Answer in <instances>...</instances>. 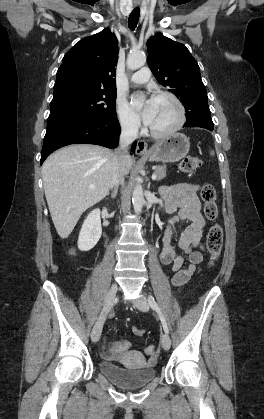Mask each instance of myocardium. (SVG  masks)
<instances>
[{
    "mask_svg": "<svg viewBox=\"0 0 264 419\" xmlns=\"http://www.w3.org/2000/svg\"><path fill=\"white\" fill-rule=\"evenodd\" d=\"M155 98H167L174 103L177 109V120L172 127H170L169 129L165 131H156L152 129L151 127L149 128V133L152 137L157 138V139H163V138H167L173 135L174 133H176L178 130L181 129V127L183 126L186 120V112H185V108L181 100L172 92L159 91L155 94Z\"/></svg>",
    "mask_w": 264,
    "mask_h": 419,
    "instance_id": "obj_1",
    "label": "myocardium"
}]
</instances>
